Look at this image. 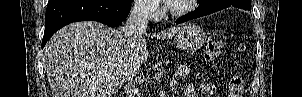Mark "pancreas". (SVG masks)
I'll list each match as a JSON object with an SVG mask.
<instances>
[{"instance_id": "1", "label": "pancreas", "mask_w": 302, "mask_h": 97, "mask_svg": "<svg viewBox=\"0 0 302 97\" xmlns=\"http://www.w3.org/2000/svg\"><path fill=\"white\" fill-rule=\"evenodd\" d=\"M190 72V68L189 66L185 65V64H178L176 66V73L175 76L179 77V78H183L186 77Z\"/></svg>"}]
</instances>
